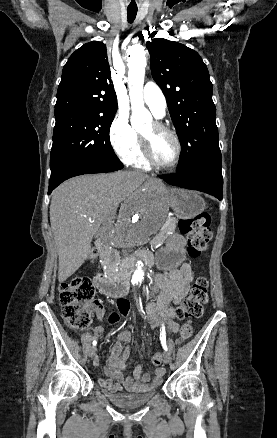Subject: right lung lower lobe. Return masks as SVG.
I'll return each mask as SVG.
<instances>
[{
  "instance_id": "right-lung-lower-lobe-1",
  "label": "right lung lower lobe",
  "mask_w": 277,
  "mask_h": 438,
  "mask_svg": "<svg viewBox=\"0 0 277 438\" xmlns=\"http://www.w3.org/2000/svg\"><path fill=\"white\" fill-rule=\"evenodd\" d=\"M122 168L123 165L121 162H94L68 167L57 176L50 178L48 194L68 178L83 174L112 172Z\"/></svg>"
}]
</instances>
